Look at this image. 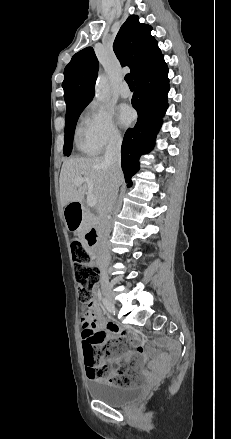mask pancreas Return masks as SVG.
<instances>
[{
	"label": "pancreas",
	"mask_w": 231,
	"mask_h": 439,
	"mask_svg": "<svg viewBox=\"0 0 231 439\" xmlns=\"http://www.w3.org/2000/svg\"><path fill=\"white\" fill-rule=\"evenodd\" d=\"M97 221V217L90 212L89 209L84 208L83 211V223H82V232H84L91 225L95 224Z\"/></svg>",
	"instance_id": "1"
}]
</instances>
